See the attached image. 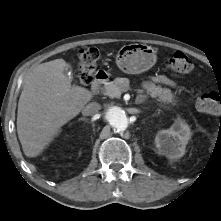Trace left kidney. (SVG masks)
Masks as SVG:
<instances>
[{"label":"left kidney","instance_id":"left-kidney-1","mask_svg":"<svg viewBox=\"0 0 221 221\" xmlns=\"http://www.w3.org/2000/svg\"><path fill=\"white\" fill-rule=\"evenodd\" d=\"M191 138L190 127L178 119L167 130H160L155 137V144L160 154L170 159H177L185 154L186 145Z\"/></svg>","mask_w":221,"mask_h":221}]
</instances>
